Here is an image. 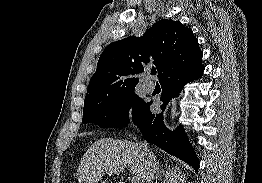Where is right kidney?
I'll return each instance as SVG.
<instances>
[{"label":"right kidney","mask_w":262,"mask_h":183,"mask_svg":"<svg viewBox=\"0 0 262 183\" xmlns=\"http://www.w3.org/2000/svg\"><path fill=\"white\" fill-rule=\"evenodd\" d=\"M185 174L177 167L170 169L165 176V183H185Z\"/></svg>","instance_id":"right-kidney-1"}]
</instances>
